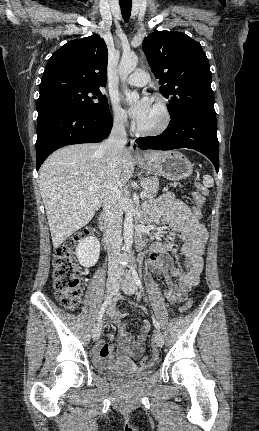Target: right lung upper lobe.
Returning <instances> with one entry per match:
<instances>
[{"label": "right lung upper lobe", "instance_id": "right-lung-upper-lobe-1", "mask_svg": "<svg viewBox=\"0 0 259 431\" xmlns=\"http://www.w3.org/2000/svg\"><path fill=\"white\" fill-rule=\"evenodd\" d=\"M107 62V46L99 35L69 41L48 60L40 88L55 81L81 87L105 86Z\"/></svg>", "mask_w": 259, "mask_h": 431}]
</instances>
